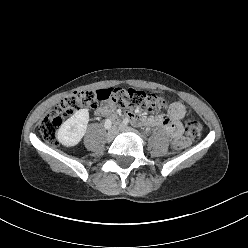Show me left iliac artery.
I'll list each match as a JSON object with an SVG mask.
<instances>
[{
    "label": "left iliac artery",
    "instance_id": "44dca946",
    "mask_svg": "<svg viewBox=\"0 0 248 248\" xmlns=\"http://www.w3.org/2000/svg\"><path fill=\"white\" fill-rule=\"evenodd\" d=\"M123 123H124L125 125H128V124H130V120H129V119H124Z\"/></svg>",
    "mask_w": 248,
    "mask_h": 248
}]
</instances>
